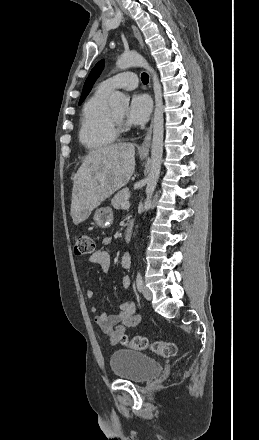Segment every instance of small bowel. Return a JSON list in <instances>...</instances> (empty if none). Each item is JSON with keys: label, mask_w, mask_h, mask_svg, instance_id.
I'll return each instance as SVG.
<instances>
[{"label": "small bowel", "mask_w": 259, "mask_h": 440, "mask_svg": "<svg viewBox=\"0 0 259 440\" xmlns=\"http://www.w3.org/2000/svg\"><path fill=\"white\" fill-rule=\"evenodd\" d=\"M89 261L98 265L103 272H108L111 264L110 254L106 250H96L89 257ZM121 266L123 269L131 267V257L129 253H124L121 257ZM122 285L128 288L131 285V278L125 274L122 277ZM85 295L88 299L95 296L92 289H87ZM91 313L95 316V322L103 333L109 336L112 344L117 343L124 335L126 328L137 326L142 318L136 312V306L133 300H128L122 303L119 307V312L116 314H109L100 311L99 307L94 305L91 307Z\"/></svg>", "instance_id": "small-bowel-1"}]
</instances>
